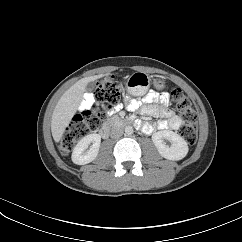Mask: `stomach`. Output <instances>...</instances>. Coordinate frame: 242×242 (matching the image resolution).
Segmentation results:
<instances>
[{"mask_svg": "<svg viewBox=\"0 0 242 242\" xmlns=\"http://www.w3.org/2000/svg\"><path fill=\"white\" fill-rule=\"evenodd\" d=\"M151 77L143 71L134 72L127 80V90L133 96H143L147 93L151 85ZM157 89H163L166 85L162 78H156L153 81Z\"/></svg>", "mask_w": 242, "mask_h": 242, "instance_id": "0dacf381", "label": "stomach"}]
</instances>
